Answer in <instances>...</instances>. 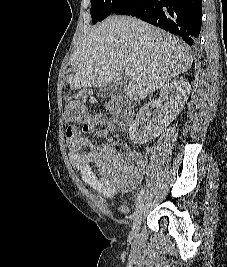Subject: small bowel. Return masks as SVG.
<instances>
[{"label":"small bowel","mask_w":227,"mask_h":267,"mask_svg":"<svg viewBox=\"0 0 227 267\" xmlns=\"http://www.w3.org/2000/svg\"><path fill=\"white\" fill-rule=\"evenodd\" d=\"M109 127L113 128L114 125H108L100 116H94L84 123L80 130L75 125H70L66 129L69 157L73 166L90 188L104 196L110 195L115 186L125 189L138 183L143 176L145 166V160L140 158L136 161L133 159L130 163H117L113 169L109 168L100 150L87 137L95 128H99L100 137H105ZM121 144V140L115 142L116 146ZM82 148H87L89 151L84 154L81 152ZM94 164L97 170L94 169Z\"/></svg>","instance_id":"c3829d8e"}]
</instances>
